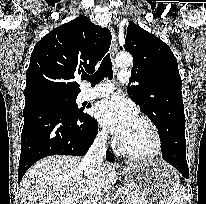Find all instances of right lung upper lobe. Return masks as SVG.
<instances>
[{
  "mask_svg": "<svg viewBox=\"0 0 206 204\" xmlns=\"http://www.w3.org/2000/svg\"><path fill=\"white\" fill-rule=\"evenodd\" d=\"M110 43V31L85 16L53 29L31 54L25 98L44 93L77 95L81 90L75 78L93 73Z\"/></svg>",
  "mask_w": 206,
  "mask_h": 204,
  "instance_id": "1",
  "label": "right lung upper lobe"
}]
</instances>
